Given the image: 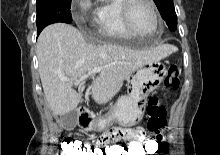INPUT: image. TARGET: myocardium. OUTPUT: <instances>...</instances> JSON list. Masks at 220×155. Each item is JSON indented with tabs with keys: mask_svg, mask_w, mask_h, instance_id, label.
I'll return each instance as SVG.
<instances>
[{
	"mask_svg": "<svg viewBox=\"0 0 220 155\" xmlns=\"http://www.w3.org/2000/svg\"><path fill=\"white\" fill-rule=\"evenodd\" d=\"M137 3L145 4L152 12V14L155 18V22H156V28L152 33H142L140 31H138L137 29H135V27L133 26V23L131 21V9H132L133 5H135ZM121 15H122V20H123L125 27L133 35L149 36V35H153V34L160 32L162 29L161 17L159 15L154 3L152 2V0H123L122 5H121Z\"/></svg>",
	"mask_w": 220,
	"mask_h": 155,
	"instance_id": "1",
	"label": "myocardium"
}]
</instances>
